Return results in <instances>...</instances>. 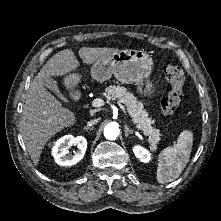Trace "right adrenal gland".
Returning <instances> with one entry per match:
<instances>
[{
	"mask_svg": "<svg viewBox=\"0 0 221 221\" xmlns=\"http://www.w3.org/2000/svg\"><path fill=\"white\" fill-rule=\"evenodd\" d=\"M94 128L93 127H88V126H86V127H84V130H93Z\"/></svg>",
	"mask_w": 221,
	"mask_h": 221,
	"instance_id": "2a0ac1e0",
	"label": "right adrenal gland"
}]
</instances>
